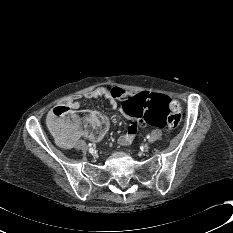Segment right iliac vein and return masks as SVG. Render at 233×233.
Wrapping results in <instances>:
<instances>
[{
    "instance_id": "right-iliac-vein-1",
    "label": "right iliac vein",
    "mask_w": 233,
    "mask_h": 233,
    "mask_svg": "<svg viewBox=\"0 0 233 233\" xmlns=\"http://www.w3.org/2000/svg\"><path fill=\"white\" fill-rule=\"evenodd\" d=\"M89 152H90L91 154H94V153H95L94 150H90V149H89Z\"/></svg>"
}]
</instances>
